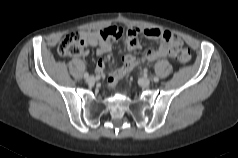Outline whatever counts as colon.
<instances>
[{"instance_id": "1", "label": "colon", "mask_w": 238, "mask_h": 158, "mask_svg": "<svg viewBox=\"0 0 238 158\" xmlns=\"http://www.w3.org/2000/svg\"><path fill=\"white\" fill-rule=\"evenodd\" d=\"M120 32L111 28L101 30L103 39L110 41L117 37ZM85 41L79 32H70L61 41L58 47V53L62 57L77 56L84 53ZM173 58L180 64H186L190 61L189 51L182 45H175L172 48Z\"/></svg>"}]
</instances>
